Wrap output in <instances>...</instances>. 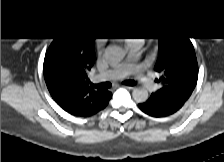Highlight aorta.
<instances>
[{"label":"aorta","instance_id":"obj_1","mask_svg":"<svg viewBox=\"0 0 224 162\" xmlns=\"http://www.w3.org/2000/svg\"><path fill=\"white\" fill-rule=\"evenodd\" d=\"M124 57V52L122 49L116 48L108 51L106 53V58L111 64H116L120 62ZM132 97L135 102L143 103L148 100V91L145 88H135L132 91Z\"/></svg>","mask_w":224,"mask_h":162}]
</instances>
